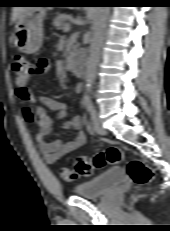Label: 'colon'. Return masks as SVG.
<instances>
[{
    "mask_svg": "<svg viewBox=\"0 0 170 231\" xmlns=\"http://www.w3.org/2000/svg\"><path fill=\"white\" fill-rule=\"evenodd\" d=\"M11 69L15 77L17 87H25L29 80L35 75L34 64L24 56L17 55L13 58ZM124 152L116 146H111L105 151L98 153L93 158L79 156L74 160L73 169L60 167L59 176L66 182L74 181L78 176H90L95 170L102 169L110 164L115 165L124 160ZM127 173L131 180L137 185L149 183L154 176L152 169L139 159L128 162Z\"/></svg>",
    "mask_w": 170,
    "mask_h": 231,
    "instance_id": "colon-1",
    "label": "colon"
}]
</instances>
